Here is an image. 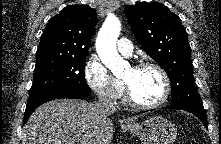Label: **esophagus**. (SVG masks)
I'll return each instance as SVG.
<instances>
[{"label":"esophagus","instance_id":"esophagus-1","mask_svg":"<svg viewBox=\"0 0 221 144\" xmlns=\"http://www.w3.org/2000/svg\"><path fill=\"white\" fill-rule=\"evenodd\" d=\"M123 122L124 123H130V120L129 119H124Z\"/></svg>","mask_w":221,"mask_h":144}]
</instances>
